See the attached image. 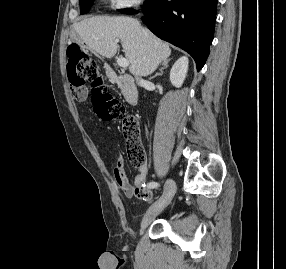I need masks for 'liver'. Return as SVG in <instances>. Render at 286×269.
Here are the masks:
<instances>
[{
  "label": "liver",
  "mask_w": 286,
  "mask_h": 269,
  "mask_svg": "<svg viewBox=\"0 0 286 269\" xmlns=\"http://www.w3.org/2000/svg\"><path fill=\"white\" fill-rule=\"evenodd\" d=\"M73 28L90 50L106 58L116 54L115 40H120L129 71L135 76L152 74L171 54L167 43L130 17H92L74 23Z\"/></svg>",
  "instance_id": "6515ba94"
}]
</instances>
